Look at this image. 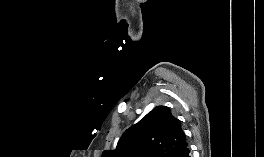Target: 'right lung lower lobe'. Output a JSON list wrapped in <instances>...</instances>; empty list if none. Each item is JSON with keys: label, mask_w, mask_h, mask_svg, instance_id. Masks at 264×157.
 <instances>
[{"label": "right lung lower lobe", "mask_w": 264, "mask_h": 157, "mask_svg": "<svg viewBox=\"0 0 264 157\" xmlns=\"http://www.w3.org/2000/svg\"><path fill=\"white\" fill-rule=\"evenodd\" d=\"M178 157H191L190 156V150L189 148L187 147L186 149H184L179 155Z\"/></svg>", "instance_id": "right-lung-lower-lobe-1"}]
</instances>
